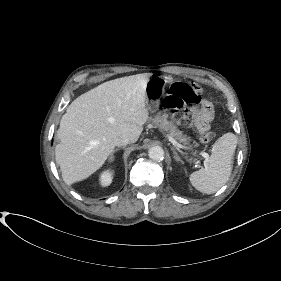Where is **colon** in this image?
Instances as JSON below:
<instances>
[{"instance_id":"obj_1","label":"colon","mask_w":281,"mask_h":281,"mask_svg":"<svg viewBox=\"0 0 281 281\" xmlns=\"http://www.w3.org/2000/svg\"><path fill=\"white\" fill-rule=\"evenodd\" d=\"M202 88L198 84H186L182 82L173 83L170 86L169 94L163 99V105L167 109L178 112L182 110L186 105H196L200 101V93ZM181 122L184 125L191 123V116L188 114L180 117ZM214 139L212 132H205L201 136V142L203 144H209Z\"/></svg>"}]
</instances>
